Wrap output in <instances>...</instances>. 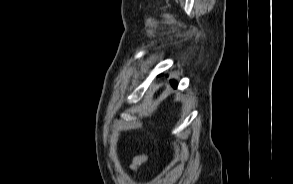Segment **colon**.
I'll return each mask as SVG.
<instances>
[{
	"label": "colon",
	"mask_w": 293,
	"mask_h": 184,
	"mask_svg": "<svg viewBox=\"0 0 293 184\" xmlns=\"http://www.w3.org/2000/svg\"><path fill=\"white\" fill-rule=\"evenodd\" d=\"M153 140V137H152ZM149 159V155L148 154H141L136 156L131 164V170L133 172V175H136V172L139 168L140 165H142L143 163H145L147 160Z\"/></svg>",
	"instance_id": "1"
}]
</instances>
